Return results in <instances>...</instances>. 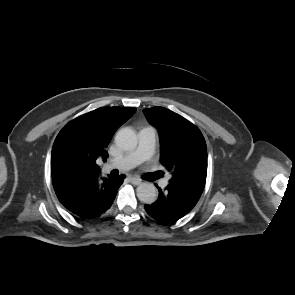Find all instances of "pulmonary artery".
Listing matches in <instances>:
<instances>
[{
    "label": "pulmonary artery",
    "mask_w": 295,
    "mask_h": 295,
    "mask_svg": "<svg viewBox=\"0 0 295 295\" xmlns=\"http://www.w3.org/2000/svg\"><path fill=\"white\" fill-rule=\"evenodd\" d=\"M138 146L135 150L128 152L119 159L111 160L107 164V168H118L127 170L135 167L139 163L148 160L155 148L156 131L151 127H144L138 133ZM161 186L165 187L168 184L167 179L161 181Z\"/></svg>",
    "instance_id": "obj_1"
}]
</instances>
